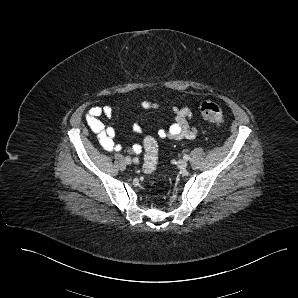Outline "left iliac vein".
Here are the masks:
<instances>
[{
  "mask_svg": "<svg viewBox=\"0 0 298 298\" xmlns=\"http://www.w3.org/2000/svg\"><path fill=\"white\" fill-rule=\"evenodd\" d=\"M177 166H178L180 169H186L187 166H188V163H187L186 160H180V161H178Z\"/></svg>",
  "mask_w": 298,
  "mask_h": 298,
  "instance_id": "4c4485c4",
  "label": "left iliac vein"
}]
</instances>
